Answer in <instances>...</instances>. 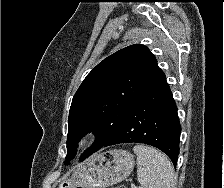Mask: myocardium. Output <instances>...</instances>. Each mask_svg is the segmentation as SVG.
Listing matches in <instances>:
<instances>
[{
	"label": "myocardium",
	"instance_id": "myocardium-1",
	"mask_svg": "<svg viewBox=\"0 0 224 188\" xmlns=\"http://www.w3.org/2000/svg\"><path fill=\"white\" fill-rule=\"evenodd\" d=\"M93 137H94V134L92 131H87L83 133L77 142V145H76L77 149L80 150L87 147L92 141Z\"/></svg>",
	"mask_w": 224,
	"mask_h": 188
}]
</instances>
